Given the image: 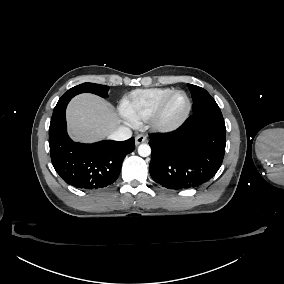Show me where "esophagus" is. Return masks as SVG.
Segmentation results:
<instances>
[{
	"mask_svg": "<svg viewBox=\"0 0 284 284\" xmlns=\"http://www.w3.org/2000/svg\"><path fill=\"white\" fill-rule=\"evenodd\" d=\"M147 140V137L146 135L144 134H138L136 137H135V145H139L143 142H145Z\"/></svg>",
	"mask_w": 284,
	"mask_h": 284,
	"instance_id": "obj_1",
	"label": "esophagus"
}]
</instances>
